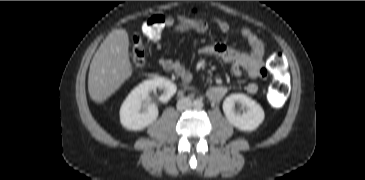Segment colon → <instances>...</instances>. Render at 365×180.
Wrapping results in <instances>:
<instances>
[{"label": "colon", "instance_id": "5ec220e1", "mask_svg": "<svg viewBox=\"0 0 365 180\" xmlns=\"http://www.w3.org/2000/svg\"><path fill=\"white\" fill-rule=\"evenodd\" d=\"M165 26V17L155 15L145 22L143 32L150 40L157 41L161 38ZM130 59L135 70L144 67L146 50L140 38H136L133 41ZM268 66L273 76V81L268 90L267 98L272 107L279 108L285 103L289 91L286 81L287 69L284 55L281 52L273 53L269 58Z\"/></svg>", "mask_w": 365, "mask_h": 180}]
</instances>
